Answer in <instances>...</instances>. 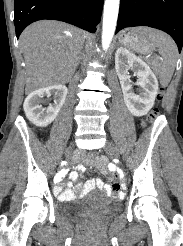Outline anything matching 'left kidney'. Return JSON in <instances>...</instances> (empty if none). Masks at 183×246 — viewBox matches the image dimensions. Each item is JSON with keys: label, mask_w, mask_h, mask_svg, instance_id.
<instances>
[{"label": "left kidney", "mask_w": 183, "mask_h": 246, "mask_svg": "<svg viewBox=\"0 0 183 246\" xmlns=\"http://www.w3.org/2000/svg\"><path fill=\"white\" fill-rule=\"evenodd\" d=\"M115 68L128 110L136 117L146 115L153 107L158 92L156 76L147 63L123 47L118 48L115 53ZM130 68L138 77L136 82L139 86L138 94L133 91L132 84L129 82Z\"/></svg>", "instance_id": "obj_1"}]
</instances>
